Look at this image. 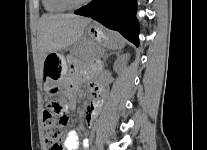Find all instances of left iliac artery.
I'll list each match as a JSON object with an SVG mask.
<instances>
[{
	"label": "left iliac artery",
	"mask_w": 207,
	"mask_h": 150,
	"mask_svg": "<svg viewBox=\"0 0 207 150\" xmlns=\"http://www.w3.org/2000/svg\"><path fill=\"white\" fill-rule=\"evenodd\" d=\"M83 145H84L85 148H87L89 146V141L87 139H85L83 141Z\"/></svg>",
	"instance_id": "44dca946"
}]
</instances>
